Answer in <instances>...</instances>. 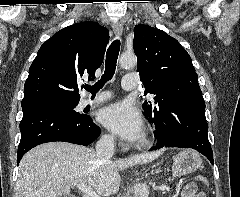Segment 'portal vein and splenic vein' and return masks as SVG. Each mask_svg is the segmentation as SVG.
<instances>
[{"label":"portal vein and splenic vein","mask_w":240,"mask_h":197,"mask_svg":"<svg viewBox=\"0 0 240 197\" xmlns=\"http://www.w3.org/2000/svg\"><path fill=\"white\" fill-rule=\"evenodd\" d=\"M77 188L85 193L86 197H99V195L89 185L78 184Z\"/></svg>","instance_id":"portal-vein-and-splenic-vein-1"}]
</instances>
